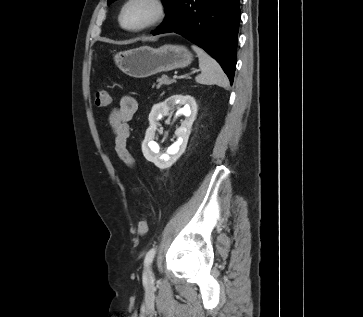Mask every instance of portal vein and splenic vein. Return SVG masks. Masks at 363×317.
<instances>
[{"label": "portal vein and splenic vein", "instance_id": "18ae733b", "mask_svg": "<svg viewBox=\"0 0 363 317\" xmlns=\"http://www.w3.org/2000/svg\"><path fill=\"white\" fill-rule=\"evenodd\" d=\"M194 72H198V70H195ZM178 78V76L177 75H174L173 76V79H177Z\"/></svg>", "mask_w": 363, "mask_h": 317}]
</instances>
